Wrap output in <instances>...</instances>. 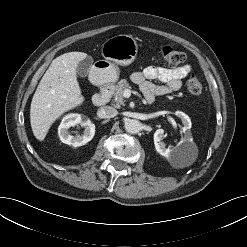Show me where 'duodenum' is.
I'll use <instances>...</instances> for the list:
<instances>
[{
	"label": "duodenum",
	"mask_w": 247,
	"mask_h": 247,
	"mask_svg": "<svg viewBox=\"0 0 247 247\" xmlns=\"http://www.w3.org/2000/svg\"><path fill=\"white\" fill-rule=\"evenodd\" d=\"M111 95H112V86L110 85L103 86L101 90L93 96L92 102L96 106H103L109 101Z\"/></svg>",
	"instance_id": "duodenum-1"
}]
</instances>
